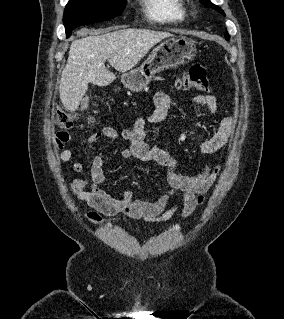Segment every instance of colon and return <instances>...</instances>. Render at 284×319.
Wrapping results in <instances>:
<instances>
[{
	"label": "colon",
	"mask_w": 284,
	"mask_h": 319,
	"mask_svg": "<svg viewBox=\"0 0 284 319\" xmlns=\"http://www.w3.org/2000/svg\"><path fill=\"white\" fill-rule=\"evenodd\" d=\"M176 85L182 89H194L201 92H208L210 84L206 75L205 67L200 63L192 64L177 79ZM77 121V116L72 113L57 111L55 122L62 130L71 128Z\"/></svg>",
	"instance_id": "obj_1"
}]
</instances>
